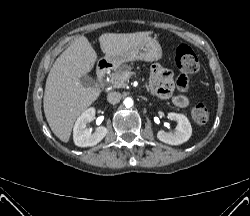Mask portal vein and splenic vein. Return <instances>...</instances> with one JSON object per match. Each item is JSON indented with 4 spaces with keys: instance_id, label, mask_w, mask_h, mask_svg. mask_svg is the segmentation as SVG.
I'll return each mask as SVG.
<instances>
[{
    "instance_id": "1",
    "label": "portal vein and splenic vein",
    "mask_w": 250,
    "mask_h": 216,
    "mask_svg": "<svg viewBox=\"0 0 250 216\" xmlns=\"http://www.w3.org/2000/svg\"><path fill=\"white\" fill-rule=\"evenodd\" d=\"M124 78H129V73L124 74Z\"/></svg>"
}]
</instances>
